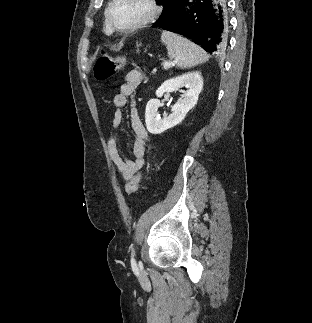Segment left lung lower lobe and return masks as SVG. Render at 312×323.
Segmentation results:
<instances>
[{"mask_svg":"<svg viewBox=\"0 0 312 323\" xmlns=\"http://www.w3.org/2000/svg\"><path fill=\"white\" fill-rule=\"evenodd\" d=\"M224 0H178L161 29L180 34L219 56L229 46V23Z\"/></svg>","mask_w":312,"mask_h":323,"instance_id":"left-lung-lower-lobe-1","label":"left lung lower lobe"}]
</instances>
